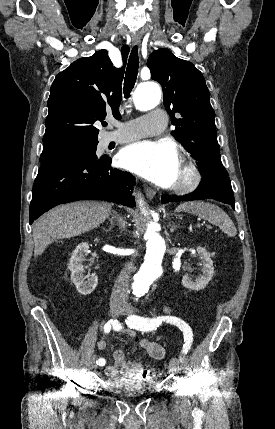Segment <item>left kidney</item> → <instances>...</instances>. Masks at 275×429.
Here are the masks:
<instances>
[{
  "instance_id": "5707ae66",
  "label": "left kidney",
  "mask_w": 275,
  "mask_h": 429,
  "mask_svg": "<svg viewBox=\"0 0 275 429\" xmlns=\"http://www.w3.org/2000/svg\"><path fill=\"white\" fill-rule=\"evenodd\" d=\"M197 253L199 254L202 261V275L195 280H193L188 275H184L182 278V285L185 288L195 291L204 289L214 274L213 261L206 249L198 246Z\"/></svg>"
}]
</instances>
